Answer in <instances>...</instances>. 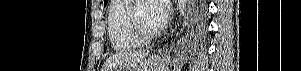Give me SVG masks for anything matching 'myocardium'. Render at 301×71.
I'll list each match as a JSON object with an SVG mask.
<instances>
[{"label":"myocardium","mask_w":301,"mask_h":71,"mask_svg":"<svg viewBox=\"0 0 301 71\" xmlns=\"http://www.w3.org/2000/svg\"><path fill=\"white\" fill-rule=\"evenodd\" d=\"M144 0H131L126 13L127 25L130 33L140 42H149L157 38L160 34L159 30L147 32L145 31L136 17L138 4Z\"/></svg>","instance_id":"1"}]
</instances>
